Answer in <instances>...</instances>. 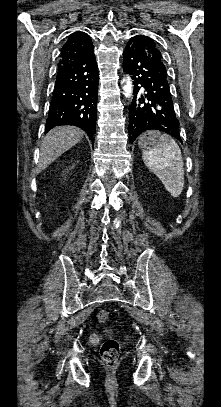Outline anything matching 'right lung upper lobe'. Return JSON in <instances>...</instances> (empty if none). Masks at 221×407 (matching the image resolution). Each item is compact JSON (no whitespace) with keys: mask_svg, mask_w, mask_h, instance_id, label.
<instances>
[{"mask_svg":"<svg viewBox=\"0 0 221 407\" xmlns=\"http://www.w3.org/2000/svg\"><path fill=\"white\" fill-rule=\"evenodd\" d=\"M91 44L89 35L84 32L76 31L69 35L62 47L58 67L83 56Z\"/></svg>","mask_w":221,"mask_h":407,"instance_id":"right-lung-upper-lobe-1","label":"right lung upper lobe"}]
</instances>
